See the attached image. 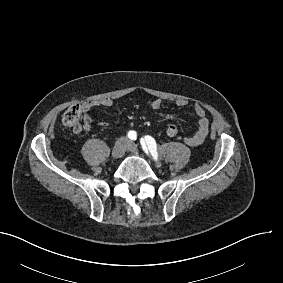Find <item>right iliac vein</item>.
Returning a JSON list of instances; mask_svg holds the SVG:
<instances>
[{
    "label": "right iliac vein",
    "mask_w": 283,
    "mask_h": 283,
    "mask_svg": "<svg viewBox=\"0 0 283 283\" xmlns=\"http://www.w3.org/2000/svg\"><path fill=\"white\" fill-rule=\"evenodd\" d=\"M127 145L128 143L126 139H119L112 149V157L114 159L121 158L127 149Z\"/></svg>",
    "instance_id": "right-iliac-vein-1"
}]
</instances>
